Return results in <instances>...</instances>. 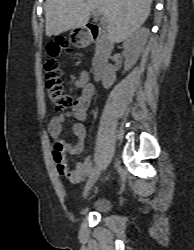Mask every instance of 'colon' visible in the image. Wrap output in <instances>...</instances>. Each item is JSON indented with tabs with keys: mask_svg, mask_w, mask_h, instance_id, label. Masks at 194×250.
Returning a JSON list of instances; mask_svg holds the SVG:
<instances>
[{
	"mask_svg": "<svg viewBox=\"0 0 194 250\" xmlns=\"http://www.w3.org/2000/svg\"><path fill=\"white\" fill-rule=\"evenodd\" d=\"M73 39H59L57 42L48 45L45 51L44 80L46 95L54 108L60 112L73 109L76 106V100L66 91L63 84L58 61V56L62 51H72L71 42ZM57 157L65 161L63 152H58ZM61 169L66 172L67 167L63 165Z\"/></svg>",
	"mask_w": 194,
	"mask_h": 250,
	"instance_id": "1",
	"label": "colon"
}]
</instances>
